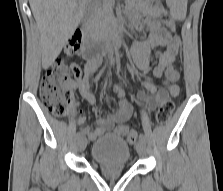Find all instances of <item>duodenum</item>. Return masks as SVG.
<instances>
[{
	"instance_id": "410a0bca",
	"label": "duodenum",
	"mask_w": 223,
	"mask_h": 191,
	"mask_svg": "<svg viewBox=\"0 0 223 191\" xmlns=\"http://www.w3.org/2000/svg\"><path fill=\"white\" fill-rule=\"evenodd\" d=\"M122 43V31L118 28L113 30L111 35L106 37H97L92 40L84 54L88 57L89 61H95L102 55L110 54L115 48L121 46Z\"/></svg>"
}]
</instances>
